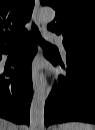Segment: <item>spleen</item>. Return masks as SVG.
I'll return each mask as SVG.
<instances>
[{"mask_svg":"<svg viewBox=\"0 0 95 130\" xmlns=\"http://www.w3.org/2000/svg\"><path fill=\"white\" fill-rule=\"evenodd\" d=\"M58 130H95V127L91 124L82 122H67L61 124Z\"/></svg>","mask_w":95,"mask_h":130,"instance_id":"1","label":"spleen"}]
</instances>
